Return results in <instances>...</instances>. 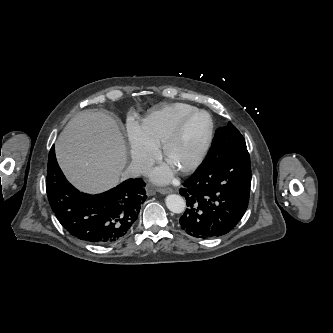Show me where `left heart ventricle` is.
Segmentation results:
<instances>
[{
  "label": "left heart ventricle",
  "instance_id": "b2bd125f",
  "mask_svg": "<svg viewBox=\"0 0 333 333\" xmlns=\"http://www.w3.org/2000/svg\"><path fill=\"white\" fill-rule=\"evenodd\" d=\"M208 128V118L204 114L194 116L187 123L182 139L172 150L169 164L173 168L187 164L196 154Z\"/></svg>",
  "mask_w": 333,
  "mask_h": 333
}]
</instances>
